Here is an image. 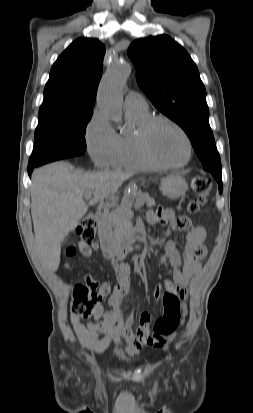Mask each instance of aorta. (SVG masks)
<instances>
[{"mask_svg": "<svg viewBox=\"0 0 253 413\" xmlns=\"http://www.w3.org/2000/svg\"><path fill=\"white\" fill-rule=\"evenodd\" d=\"M131 73L125 62L112 64L103 76L97 95V105L111 120H122V90Z\"/></svg>", "mask_w": 253, "mask_h": 413, "instance_id": "obj_1", "label": "aorta"}]
</instances>
